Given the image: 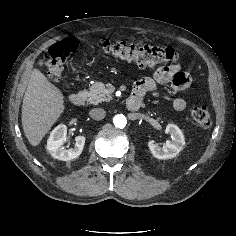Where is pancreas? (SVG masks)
<instances>
[{
  "instance_id": "obj_1",
  "label": "pancreas",
  "mask_w": 236,
  "mask_h": 236,
  "mask_svg": "<svg viewBox=\"0 0 236 236\" xmlns=\"http://www.w3.org/2000/svg\"><path fill=\"white\" fill-rule=\"evenodd\" d=\"M112 99L108 85L103 82H95L88 91V102L90 104H99Z\"/></svg>"
}]
</instances>
